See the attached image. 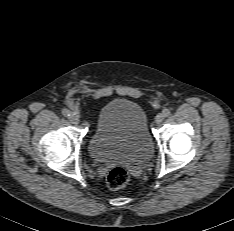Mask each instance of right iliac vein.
<instances>
[{
	"instance_id": "1",
	"label": "right iliac vein",
	"mask_w": 234,
	"mask_h": 231,
	"mask_svg": "<svg viewBox=\"0 0 234 231\" xmlns=\"http://www.w3.org/2000/svg\"><path fill=\"white\" fill-rule=\"evenodd\" d=\"M69 121L72 123V124H75L77 125L79 123V118L78 116H76L75 114H70L69 117H68Z\"/></svg>"
}]
</instances>
